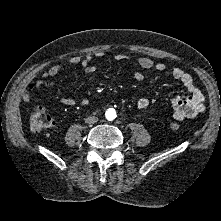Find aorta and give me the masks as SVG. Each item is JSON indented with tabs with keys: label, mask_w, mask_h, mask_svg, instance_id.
<instances>
[{
	"label": "aorta",
	"mask_w": 221,
	"mask_h": 221,
	"mask_svg": "<svg viewBox=\"0 0 221 221\" xmlns=\"http://www.w3.org/2000/svg\"><path fill=\"white\" fill-rule=\"evenodd\" d=\"M116 111H115V109H113V108H109L107 111H106V113H105V117L109 120V121H111V120H114L115 118H116Z\"/></svg>",
	"instance_id": "obj_1"
}]
</instances>
